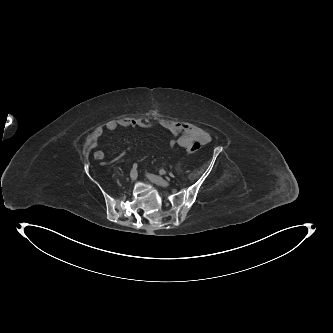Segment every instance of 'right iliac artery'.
I'll return each instance as SVG.
<instances>
[{
    "label": "right iliac artery",
    "instance_id": "right-iliac-artery-1",
    "mask_svg": "<svg viewBox=\"0 0 333 333\" xmlns=\"http://www.w3.org/2000/svg\"><path fill=\"white\" fill-rule=\"evenodd\" d=\"M137 167H138V166H137V164H136V163H135V164H133V169H134V170H136V169H137Z\"/></svg>",
    "mask_w": 333,
    "mask_h": 333
}]
</instances>
